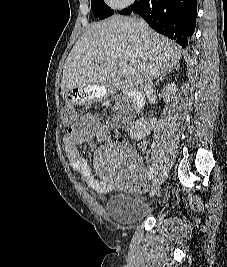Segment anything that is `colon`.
<instances>
[{"instance_id": "colon-1", "label": "colon", "mask_w": 227, "mask_h": 267, "mask_svg": "<svg viewBox=\"0 0 227 267\" xmlns=\"http://www.w3.org/2000/svg\"><path fill=\"white\" fill-rule=\"evenodd\" d=\"M83 114H77L71 104H66L63 107L62 120L65 124L72 122L74 119H83Z\"/></svg>"}]
</instances>
